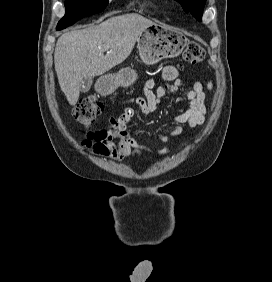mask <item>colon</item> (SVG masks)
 I'll return each instance as SVG.
<instances>
[{
    "mask_svg": "<svg viewBox=\"0 0 272 282\" xmlns=\"http://www.w3.org/2000/svg\"><path fill=\"white\" fill-rule=\"evenodd\" d=\"M205 59L204 49L195 42H187L183 52V60L190 64L201 63ZM172 85L166 84L164 87L170 89ZM103 104L98 100L97 96H89L82 99L74 108V118L83 125H91L95 119L102 113ZM110 133L106 129L98 130L90 133L85 140L88 147H94L95 151L100 155H108L109 149L107 142Z\"/></svg>",
    "mask_w": 272,
    "mask_h": 282,
    "instance_id": "1",
    "label": "colon"
}]
</instances>
